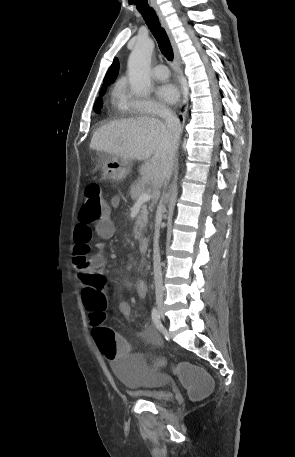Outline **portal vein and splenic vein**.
Returning <instances> with one entry per match:
<instances>
[{
  "instance_id": "1",
  "label": "portal vein and splenic vein",
  "mask_w": 295,
  "mask_h": 457,
  "mask_svg": "<svg viewBox=\"0 0 295 457\" xmlns=\"http://www.w3.org/2000/svg\"><path fill=\"white\" fill-rule=\"evenodd\" d=\"M150 198H151L150 194L147 192H144L140 195L137 202H146V201H149Z\"/></svg>"
}]
</instances>
